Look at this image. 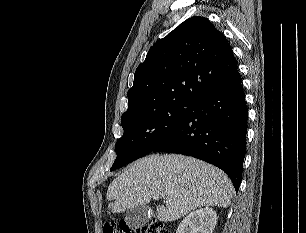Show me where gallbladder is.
Instances as JSON below:
<instances>
[{
	"mask_svg": "<svg viewBox=\"0 0 306 233\" xmlns=\"http://www.w3.org/2000/svg\"><path fill=\"white\" fill-rule=\"evenodd\" d=\"M149 218V209L145 205L128 210L124 217L127 225L132 229L142 227L148 222Z\"/></svg>",
	"mask_w": 306,
	"mask_h": 233,
	"instance_id": "1",
	"label": "gallbladder"
}]
</instances>
